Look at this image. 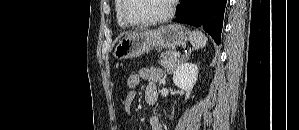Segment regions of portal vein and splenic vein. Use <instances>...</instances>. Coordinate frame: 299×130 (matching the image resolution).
<instances>
[{"label":"portal vein and splenic vein","mask_w":299,"mask_h":130,"mask_svg":"<svg viewBox=\"0 0 299 130\" xmlns=\"http://www.w3.org/2000/svg\"><path fill=\"white\" fill-rule=\"evenodd\" d=\"M180 56V53L179 52H175L174 53V57H179Z\"/></svg>","instance_id":"portal-vein-and-splenic-vein-1"}]
</instances>
